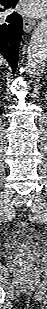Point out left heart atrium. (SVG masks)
Wrapping results in <instances>:
<instances>
[{"label":"left heart atrium","mask_w":47,"mask_h":309,"mask_svg":"<svg viewBox=\"0 0 47 309\" xmlns=\"http://www.w3.org/2000/svg\"><path fill=\"white\" fill-rule=\"evenodd\" d=\"M21 10L26 14L38 16L43 12V0H25Z\"/></svg>","instance_id":"1"}]
</instances>
